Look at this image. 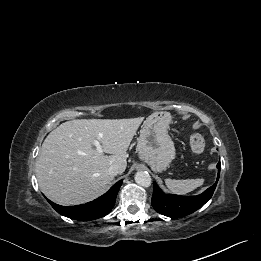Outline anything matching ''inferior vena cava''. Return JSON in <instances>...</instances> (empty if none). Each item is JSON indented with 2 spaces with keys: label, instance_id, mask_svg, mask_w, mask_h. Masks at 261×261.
I'll use <instances>...</instances> for the list:
<instances>
[{
  "label": "inferior vena cava",
  "instance_id": "inferior-vena-cava-1",
  "mask_svg": "<svg viewBox=\"0 0 261 261\" xmlns=\"http://www.w3.org/2000/svg\"><path fill=\"white\" fill-rule=\"evenodd\" d=\"M108 172H109L110 175L115 176V175L121 173V169L117 165H112V166L109 167Z\"/></svg>",
  "mask_w": 261,
  "mask_h": 261
}]
</instances>
